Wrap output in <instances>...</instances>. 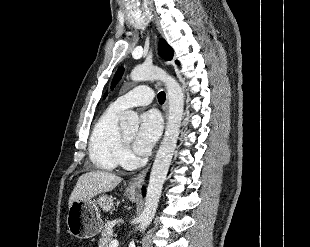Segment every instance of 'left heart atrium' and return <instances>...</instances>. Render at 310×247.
<instances>
[{"mask_svg": "<svg viewBox=\"0 0 310 247\" xmlns=\"http://www.w3.org/2000/svg\"><path fill=\"white\" fill-rule=\"evenodd\" d=\"M162 130V123L155 111H148L141 115L140 126L134 140L135 152L139 155L147 154L157 142Z\"/></svg>", "mask_w": 310, "mask_h": 247, "instance_id": "39dd6f15", "label": "left heart atrium"}]
</instances>
